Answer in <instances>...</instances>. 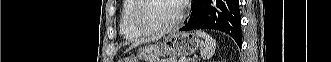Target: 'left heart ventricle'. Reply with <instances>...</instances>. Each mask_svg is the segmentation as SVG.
<instances>
[{
  "label": "left heart ventricle",
  "instance_id": "left-heart-ventricle-1",
  "mask_svg": "<svg viewBox=\"0 0 331 62\" xmlns=\"http://www.w3.org/2000/svg\"><path fill=\"white\" fill-rule=\"evenodd\" d=\"M178 13L176 0H147L140 11V18L150 27H163L175 21Z\"/></svg>",
  "mask_w": 331,
  "mask_h": 62
}]
</instances>
